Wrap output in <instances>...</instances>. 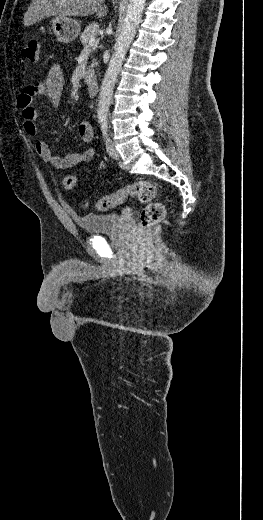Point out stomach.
<instances>
[{"label": "stomach", "mask_w": 263, "mask_h": 520, "mask_svg": "<svg viewBox=\"0 0 263 520\" xmlns=\"http://www.w3.org/2000/svg\"><path fill=\"white\" fill-rule=\"evenodd\" d=\"M51 28L57 39L64 43L73 41L80 33L79 22L67 17L56 16L53 18Z\"/></svg>", "instance_id": "stomach-1"}]
</instances>
